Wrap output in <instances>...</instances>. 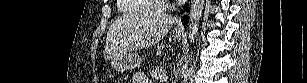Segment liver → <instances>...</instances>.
I'll use <instances>...</instances> for the list:
<instances>
[{"label": "liver", "mask_w": 307, "mask_h": 83, "mask_svg": "<svg viewBox=\"0 0 307 83\" xmlns=\"http://www.w3.org/2000/svg\"><path fill=\"white\" fill-rule=\"evenodd\" d=\"M176 19L157 12L128 14L110 27L104 50L105 60L129 50L151 47L165 37Z\"/></svg>", "instance_id": "6515ba94"}]
</instances>
